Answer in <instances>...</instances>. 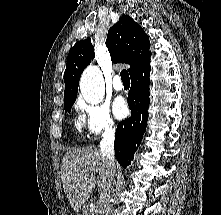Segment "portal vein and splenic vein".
<instances>
[{"instance_id":"18ae733b","label":"portal vein and splenic vein","mask_w":221,"mask_h":215,"mask_svg":"<svg viewBox=\"0 0 221 215\" xmlns=\"http://www.w3.org/2000/svg\"><path fill=\"white\" fill-rule=\"evenodd\" d=\"M98 209V206L91 205L90 212H95Z\"/></svg>"}]
</instances>
